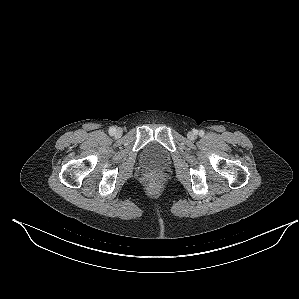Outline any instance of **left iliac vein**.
I'll list each match as a JSON object with an SVG mask.
<instances>
[{"mask_svg":"<svg viewBox=\"0 0 299 299\" xmlns=\"http://www.w3.org/2000/svg\"><path fill=\"white\" fill-rule=\"evenodd\" d=\"M187 136H188V138H189L190 140H193L194 137H195V134H194L193 132H189V133L187 134Z\"/></svg>","mask_w":299,"mask_h":299,"instance_id":"4c4485c4","label":"left iliac vein"}]
</instances>
